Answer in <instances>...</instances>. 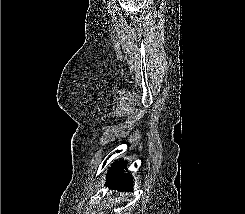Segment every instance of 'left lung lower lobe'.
<instances>
[{
	"label": "left lung lower lobe",
	"mask_w": 245,
	"mask_h": 214,
	"mask_svg": "<svg viewBox=\"0 0 245 214\" xmlns=\"http://www.w3.org/2000/svg\"><path fill=\"white\" fill-rule=\"evenodd\" d=\"M127 163L117 161L112 165L107 174L106 185L119 191H131L133 179L128 173H124Z\"/></svg>",
	"instance_id": "1"
}]
</instances>
